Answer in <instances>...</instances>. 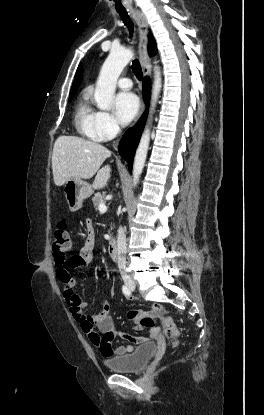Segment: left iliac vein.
<instances>
[{
    "instance_id": "4c4485c4",
    "label": "left iliac vein",
    "mask_w": 264,
    "mask_h": 415,
    "mask_svg": "<svg viewBox=\"0 0 264 415\" xmlns=\"http://www.w3.org/2000/svg\"><path fill=\"white\" fill-rule=\"evenodd\" d=\"M131 290H134V287H131Z\"/></svg>"
}]
</instances>
